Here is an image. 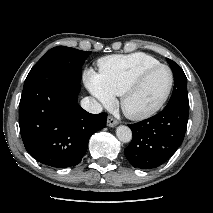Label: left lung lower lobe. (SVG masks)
I'll use <instances>...</instances> for the list:
<instances>
[{"label": "left lung lower lobe", "mask_w": 213, "mask_h": 213, "mask_svg": "<svg viewBox=\"0 0 213 213\" xmlns=\"http://www.w3.org/2000/svg\"><path fill=\"white\" fill-rule=\"evenodd\" d=\"M189 104L172 101L157 115L128 125L133 139L124 154L133 167L156 168L165 163L182 144Z\"/></svg>", "instance_id": "0a47b994"}]
</instances>
